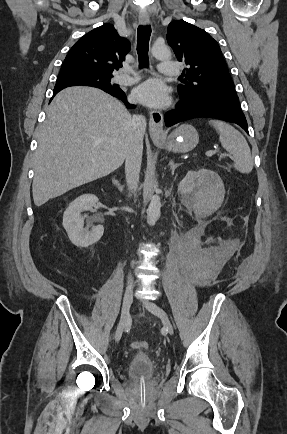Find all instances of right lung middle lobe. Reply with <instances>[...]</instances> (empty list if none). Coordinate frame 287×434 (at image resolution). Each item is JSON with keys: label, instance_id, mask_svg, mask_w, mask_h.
I'll return each instance as SVG.
<instances>
[{"label": "right lung middle lobe", "instance_id": "dd1d6c3e", "mask_svg": "<svg viewBox=\"0 0 287 434\" xmlns=\"http://www.w3.org/2000/svg\"><path fill=\"white\" fill-rule=\"evenodd\" d=\"M111 78L112 75H102L84 70H61L57 78V83L74 81L88 86L98 87L103 90H114L118 88V86L110 83Z\"/></svg>", "mask_w": 287, "mask_h": 434}]
</instances>
